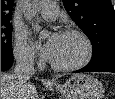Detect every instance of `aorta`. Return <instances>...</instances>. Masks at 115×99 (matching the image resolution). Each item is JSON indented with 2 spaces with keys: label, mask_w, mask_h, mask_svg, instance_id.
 Instances as JSON below:
<instances>
[{
  "label": "aorta",
  "mask_w": 115,
  "mask_h": 99,
  "mask_svg": "<svg viewBox=\"0 0 115 99\" xmlns=\"http://www.w3.org/2000/svg\"><path fill=\"white\" fill-rule=\"evenodd\" d=\"M43 4L42 0H32L27 3L25 6V12L27 18H31L35 15V13L39 10L41 5Z\"/></svg>",
  "instance_id": "762f6f07"
}]
</instances>
